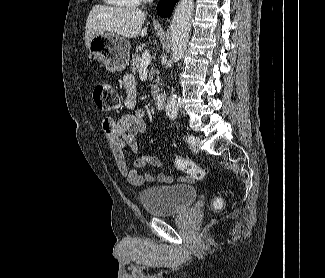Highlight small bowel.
I'll return each instance as SVG.
<instances>
[{
  "mask_svg": "<svg viewBox=\"0 0 325 278\" xmlns=\"http://www.w3.org/2000/svg\"><path fill=\"white\" fill-rule=\"evenodd\" d=\"M122 82L126 90L124 107L130 113L119 119L104 118L102 121V128L114 154L118 170L134 186H142L156 180L169 183L172 180L170 176L139 173L140 169L159 167L161 160L156 156L144 155L140 152L137 137L145 130L146 114L143 109L135 108L137 92L134 78L127 74L123 76ZM126 148L130 149L134 157L131 168L127 165Z\"/></svg>",
  "mask_w": 325,
  "mask_h": 278,
  "instance_id": "small-bowel-1",
  "label": "small bowel"
}]
</instances>
